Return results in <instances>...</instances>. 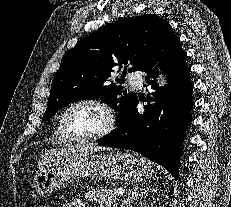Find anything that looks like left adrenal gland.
<instances>
[{
    "instance_id": "a2214340",
    "label": "left adrenal gland",
    "mask_w": 231,
    "mask_h": 207,
    "mask_svg": "<svg viewBox=\"0 0 231 207\" xmlns=\"http://www.w3.org/2000/svg\"><path fill=\"white\" fill-rule=\"evenodd\" d=\"M150 187H145V188H141L140 190H138L139 188H135V189H129L127 191V195L128 197L124 200H122L120 207H129L131 203H134L137 199L140 198V196H144L145 194H147L149 192Z\"/></svg>"
}]
</instances>
